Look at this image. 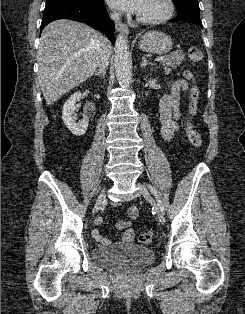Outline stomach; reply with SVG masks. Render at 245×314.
I'll use <instances>...</instances> for the list:
<instances>
[{"label": "stomach", "instance_id": "1", "mask_svg": "<svg viewBox=\"0 0 245 314\" xmlns=\"http://www.w3.org/2000/svg\"><path fill=\"white\" fill-rule=\"evenodd\" d=\"M139 49L155 54H166L172 49V39L160 31H148L139 41Z\"/></svg>", "mask_w": 245, "mask_h": 314}]
</instances>
